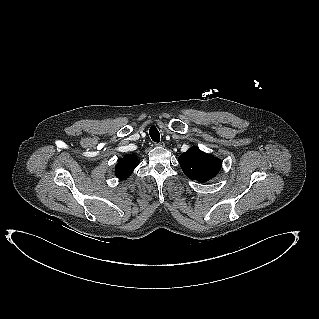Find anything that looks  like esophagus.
Returning a JSON list of instances; mask_svg holds the SVG:
<instances>
[{"label": "esophagus", "instance_id": "esophagus-1", "mask_svg": "<svg viewBox=\"0 0 319 319\" xmlns=\"http://www.w3.org/2000/svg\"><path fill=\"white\" fill-rule=\"evenodd\" d=\"M154 145L157 146V147H164L165 143L164 142H159V143H155Z\"/></svg>", "mask_w": 319, "mask_h": 319}]
</instances>
